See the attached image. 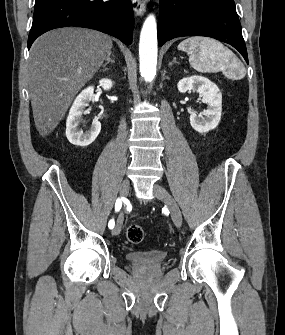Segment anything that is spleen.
<instances>
[{"label":"spleen","instance_id":"spleen-1","mask_svg":"<svg viewBox=\"0 0 285 335\" xmlns=\"http://www.w3.org/2000/svg\"><path fill=\"white\" fill-rule=\"evenodd\" d=\"M178 50L187 52L191 68L202 74L231 68V70H238L240 78L246 76V70L235 54L212 38H202V36L187 38L179 44Z\"/></svg>","mask_w":285,"mask_h":335}]
</instances>
